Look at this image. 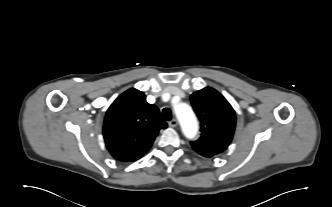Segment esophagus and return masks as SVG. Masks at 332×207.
<instances>
[{"label": "esophagus", "mask_w": 332, "mask_h": 207, "mask_svg": "<svg viewBox=\"0 0 332 207\" xmlns=\"http://www.w3.org/2000/svg\"><path fill=\"white\" fill-rule=\"evenodd\" d=\"M168 124L170 127H176L178 125V121L177 119H172Z\"/></svg>", "instance_id": "obj_1"}]
</instances>
